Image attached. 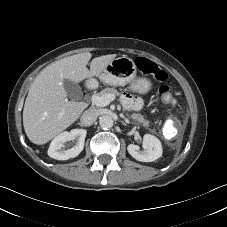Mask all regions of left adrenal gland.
Segmentation results:
<instances>
[{
  "mask_svg": "<svg viewBox=\"0 0 227 227\" xmlns=\"http://www.w3.org/2000/svg\"><path fill=\"white\" fill-rule=\"evenodd\" d=\"M121 123H122L123 125H127L124 121H121Z\"/></svg>",
  "mask_w": 227,
  "mask_h": 227,
  "instance_id": "obj_1",
  "label": "left adrenal gland"
}]
</instances>
